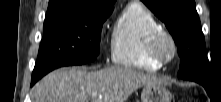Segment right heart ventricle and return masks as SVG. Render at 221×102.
<instances>
[{
  "instance_id": "obj_1",
  "label": "right heart ventricle",
  "mask_w": 221,
  "mask_h": 102,
  "mask_svg": "<svg viewBox=\"0 0 221 102\" xmlns=\"http://www.w3.org/2000/svg\"><path fill=\"white\" fill-rule=\"evenodd\" d=\"M153 13L137 1L128 3L113 27L110 45L114 64L157 71L161 65L147 54L146 46L151 33L161 29Z\"/></svg>"
}]
</instances>
